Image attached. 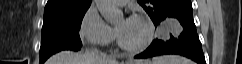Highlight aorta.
<instances>
[{"mask_svg":"<svg viewBox=\"0 0 242 64\" xmlns=\"http://www.w3.org/2000/svg\"><path fill=\"white\" fill-rule=\"evenodd\" d=\"M95 4L102 17L109 23H114L123 16L114 0H95Z\"/></svg>","mask_w":242,"mask_h":64,"instance_id":"obj_1","label":"aorta"}]
</instances>
